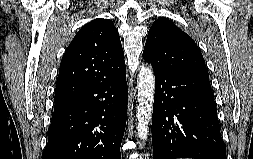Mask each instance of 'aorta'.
I'll list each match as a JSON object with an SVG mask.
<instances>
[{
	"label": "aorta",
	"instance_id": "aorta-1",
	"mask_svg": "<svg viewBox=\"0 0 253 159\" xmlns=\"http://www.w3.org/2000/svg\"><path fill=\"white\" fill-rule=\"evenodd\" d=\"M155 76L151 66H142L138 74L137 135L146 140L152 119Z\"/></svg>",
	"mask_w": 253,
	"mask_h": 159
}]
</instances>
